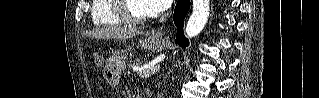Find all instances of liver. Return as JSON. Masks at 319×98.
Here are the masks:
<instances>
[{
    "mask_svg": "<svg viewBox=\"0 0 319 98\" xmlns=\"http://www.w3.org/2000/svg\"><path fill=\"white\" fill-rule=\"evenodd\" d=\"M142 34L141 31L131 28H123V27H106V28H97L92 30L86 35L91 38L96 39H125L131 38L136 35Z\"/></svg>",
    "mask_w": 319,
    "mask_h": 98,
    "instance_id": "6515ba94",
    "label": "liver"
}]
</instances>
